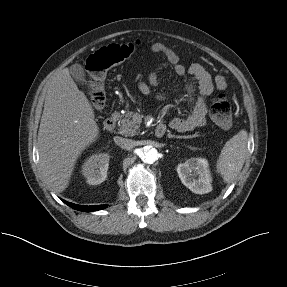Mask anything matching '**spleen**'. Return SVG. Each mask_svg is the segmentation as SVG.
Segmentation results:
<instances>
[{
	"label": "spleen",
	"instance_id": "3e777b00",
	"mask_svg": "<svg viewBox=\"0 0 287 287\" xmlns=\"http://www.w3.org/2000/svg\"><path fill=\"white\" fill-rule=\"evenodd\" d=\"M247 141V131L241 130L221 150L216 169L226 183L233 182L240 173L247 155Z\"/></svg>",
	"mask_w": 287,
	"mask_h": 287
}]
</instances>
